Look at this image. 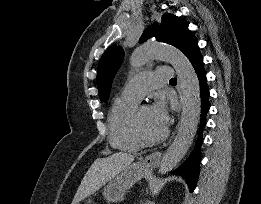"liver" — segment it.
<instances>
[{"label": "liver", "instance_id": "liver-1", "mask_svg": "<svg viewBox=\"0 0 261 204\" xmlns=\"http://www.w3.org/2000/svg\"><path fill=\"white\" fill-rule=\"evenodd\" d=\"M134 161L128 153H114L105 158H97L83 177L71 204H78L99 190Z\"/></svg>", "mask_w": 261, "mask_h": 204}]
</instances>
